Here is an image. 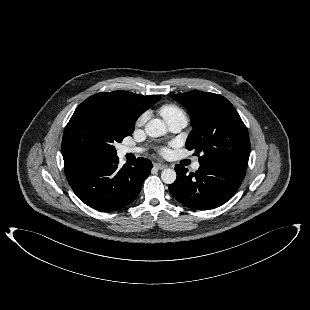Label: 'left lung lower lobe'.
Returning a JSON list of instances; mask_svg holds the SVG:
<instances>
[{
	"label": "left lung lower lobe",
	"mask_w": 310,
	"mask_h": 310,
	"mask_svg": "<svg viewBox=\"0 0 310 310\" xmlns=\"http://www.w3.org/2000/svg\"><path fill=\"white\" fill-rule=\"evenodd\" d=\"M177 179L169 185L172 196L183 205L208 210L226 203L239 189L246 169L225 163L200 164L195 173L188 174L176 165Z\"/></svg>",
	"instance_id": "obj_1"
}]
</instances>
